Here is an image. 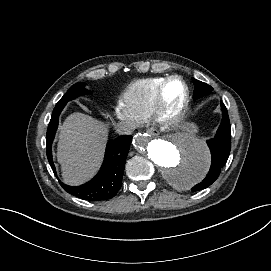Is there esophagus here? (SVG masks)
<instances>
[{
  "label": "esophagus",
  "mask_w": 271,
  "mask_h": 271,
  "mask_svg": "<svg viewBox=\"0 0 271 271\" xmlns=\"http://www.w3.org/2000/svg\"><path fill=\"white\" fill-rule=\"evenodd\" d=\"M147 133L153 138H155V137H157L159 135V131L156 128H153V127L148 128Z\"/></svg>",
  "instance_id": "34e87169"
}]
</instances>
